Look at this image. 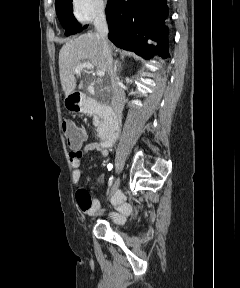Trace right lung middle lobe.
Wrapping results in <instances>:
<instances>
[{
	"mask_svg": "<svg viewBox=\"0 0 240 288\" xmlns=\"http://www.w3.org/2000/svg\"><path fill=\"white\" fill-rule=\"evenodd\" d=\"M56 13L66 30L65 35L68 36L81 31L72 13V0H56Z\"/></svg>",
	"mask_w": 240,
	"mask_h": 288,
	"instance_id": "1",
	"label": "right lung middle lobe"
}]
</instances>
